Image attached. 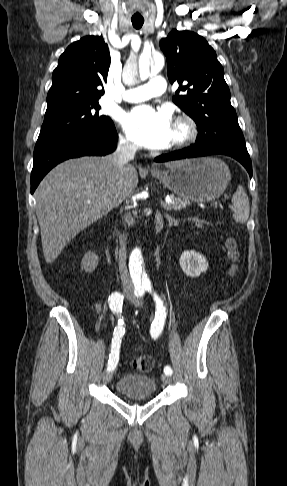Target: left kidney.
Masks as SVG:
<instances>
[{
    "mask_svg": "<svg viewBox=\"0 0 287 486\" xmlns=\"http://www.w3.org/2000/svg\"><path fill=\"white\" fill-rule=\"evenodd\" d=\"M182 271L189 277H198L208 269L206 258L200 253L191 250L184 251L179 259Z\"/></svg>",
    "mask_w": 287,
    "mask_h": 486,
    "instance_id": "obj_1",
    "label": "left kidney"
}]
</instances>
